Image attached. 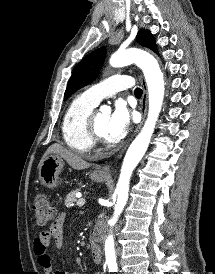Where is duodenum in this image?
I'll return each mask as SVG.
<instances>
[{
  "instance_id": "duodenum-1",
  "label": "duodenum",
  "mask_w": 215,
  "mask_h": 274,
  "mask_svg": "<svg viewBox=\"0 0 215 274\" xmlns=\"http://www.w3.org/2000/svg\"><path fill=\"white\" fill-rule=\"evenodd\" d=\"M90 250L93 262L96 264H100L103 258V252L100 245L97 242L92 241L90 243Z\"/></svg>"
}]
</instances>
